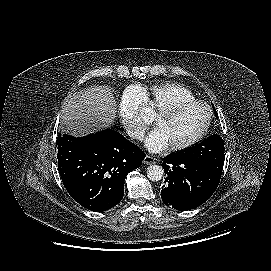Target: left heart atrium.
Segmentation results:
<instances>
[{
	"label": "left heart atrium",
	"mask_w": 271,
	"mask_h": 271,
	"mask_svg": "<svg viewBox=\"0 0 271 271\" xmlns=\"http://www.w3.org/2000/svg\"><path fill=\"white\" fill-rule=\"evenodd\" d=\"M145 146L150 152L157 153L168 148L169 144L162 130L156 127L147 136Z\"/></svg>",
	"instance_id": "left-heart-atrium-1"
}]
</instances>
